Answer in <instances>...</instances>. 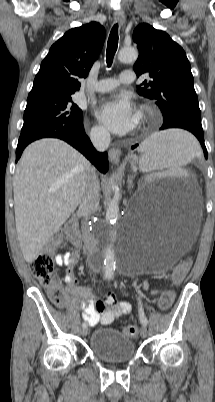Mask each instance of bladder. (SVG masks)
I'll use <instances>...</instances> for the list:
<instances>
[{"instance_id":"bladder-1","label":"bladder","mask_w":215,"mask_h":402,"mask_svg":"<svg viewBox=\"0 0 215 402\" xmlns=\"http://www.w3.org/2000/svg\"><path fill=\"white\" fill-rule=\"evenodd\" d=\"M92 354L105 362H122L133 358L135 343L127 335L113 328H98L89 339Z\"/></svg>"}]
</instances>
